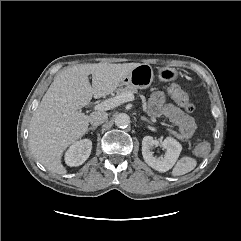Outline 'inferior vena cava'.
I'll return each mask as SVG.
<instances>
[{"label": "inferior vena cava", "instance_id": "inferior-vena-cava-1", "mask_svg": "<svg viewBox=\"0 0 241 241\" xmlns=\"http://www.w3.org/2000/svg\"><path fill=\"white\" fill-rule=\"evenodd\" d=\"M108 118V114L104 111L92 112L89 116V121L92 126H99L104 123Z\"/></svg>", "mask_w": 241, "mask_h": 241}]
</instances>
